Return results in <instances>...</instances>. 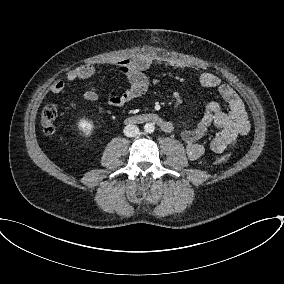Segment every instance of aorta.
<instances>
[{
	"mask_svg": "<svg viewBox=\"0 0 284 284\" xmlns=\"http://www.w3.org/2000/svg\"><path fill=\"white\" fill-rule=\"evenodd\" d=\"M154 130H155V126H154L153 123H146V124L144 125V131H145L146 133H153Z\"/></svg>",
	"mask_w": 284,
	"mask_h": 284,
	"instance_id": "1",
	"label": "aorta"
}]
</instances>
